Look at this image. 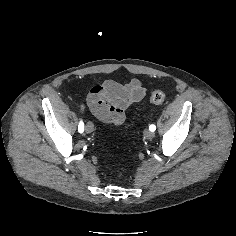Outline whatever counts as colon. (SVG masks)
<instances>
[{"instance_id": "colon-1", "label": "colon", "mask_w": 236, "mask_h": 236, "mask_svg": "<svg viewBox=\"0 0 236 236\" xmlns=\"http://www.w3.org/2000/svg\"><path fill=\"white\" fill-rule=\"evenodd\" d=\"M166 95L162 91H155L150 97V102L153 104H161L165 101Z\"/></svg>"}]
</instances>
